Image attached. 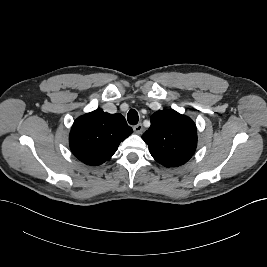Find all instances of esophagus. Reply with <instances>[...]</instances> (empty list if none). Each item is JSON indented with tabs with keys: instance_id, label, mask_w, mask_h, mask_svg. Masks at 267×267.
I'll return each instance as SVG.
<instances>
[{
	"instance_id": "obj_1",
	"label": "esophagus",
	"mask_w": 267,
	"mask_h": 267,
	"mask_svg": "<svg viewBox=\"0 0 267 267\" xmlns=\"http://www.w3.org/2000/svg\"><path fill=\"white\" fill-rule=\"evenodd\" d=\"M133 130L137 134H141L143 132L142 124H137L133 127Z\"/></svg>"
}]
</instances>
